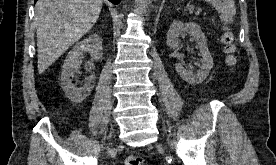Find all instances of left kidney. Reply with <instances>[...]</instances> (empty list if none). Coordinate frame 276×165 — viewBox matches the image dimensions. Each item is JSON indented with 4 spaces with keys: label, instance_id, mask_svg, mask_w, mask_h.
I'll list each match as a JSON object with an SVG mask.
<instances>
[{
    "label": "left kidney",
    "instance_id": "5707ae66",
    "mask_svg": "<svg viewBox=\"0 0 276 165\" xmlns=\"http://www.w3.org/2000/svg\"><path fill=\"white\" fill-rule=\"evenodd\" d=\"M183 34H189L196 41L199 48L201 65L196 73L192 70H187L182 63L176 64V71L189 84H199L204 81L211 68L213 67V58L208 50L207 40L200 26L194 22L183 23L179 20H174L167 33V45L172 49L180 47L179 37Z\"/></svg>",
    "mask_w": 276,
    "mask_h": 165
}]
</instances>
